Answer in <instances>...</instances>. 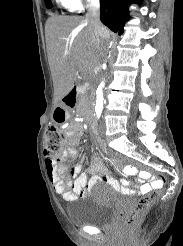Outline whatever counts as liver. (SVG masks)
Segmentation results:
<instances>
[{
	"instance_id": "6515ba94",
	"label": "liver",
	"mask_w": 183,
	"mask_h": 246,
	"mask_svg": "<svg viewBox=\"0 0 183 246\" xmlns=\"http://www.w3.org/2000/svg\"><path fill=\"white\" fill-rule=\"evenodd\" d=\"M107 34L109 39V30ZM45 35L54 95L60 101L74 87L78 72H91L100 64L107 39L97 37L86 19L59 15L47 20Z\"/></svg>"
}]
</instances>
